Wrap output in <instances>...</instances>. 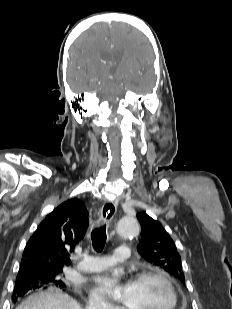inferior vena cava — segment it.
<instances>
[{"label": "inferior vena cava", "mask_w": 232, "mask_h": 309, "mask_svg": "<svg viewBox=\"0 0 232 309\" xmlns=\"http://www.w3.org/2000/svg\"><path fill=\"white\" fill-rule=\"evenodd\" d=\"M86 309H103L99 300H93Z\"/></svg>", "instance_id": "602c4592"}]
</instances>
